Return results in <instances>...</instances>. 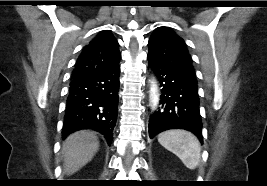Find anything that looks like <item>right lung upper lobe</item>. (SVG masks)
Segmentation results:
<instances>
[{
    "mask_svg": "<svg viewBox=\"0 0 267 186\" xmlns=\"http://www.w3.org/2000/svg\"><path fill=\"white\" fill-rule=\"evenodd\" d=\"M118 47L117 40L110 32H100L82 49L72 76H78L119 63L121 54Z\"/></svg>",
    "mask_w": 267,
    "mask_h": 186,
    "instance_id": "right-lung-upper-lobe-1",
    "label": "right lung upper lobe"
}]
</instances>
